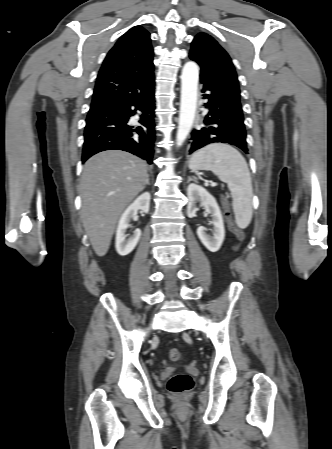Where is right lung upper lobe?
<instances>
[{"mask_svg": "<svg viewBox=\"0 0 332 449\" xmlns=\"http://www.w3.org/2000/svg\"><path fill=\"white\" fill-rule=\"evenodd\" d=\"M150 34L135 26L119 38L99 71L90 111L145 96L154 89Z\"/></svg>", "mask_w": 332, "mask_h": 449, "instance_id": "cb5924a9", "label": "right lung upper lobe"}]
</instances>
